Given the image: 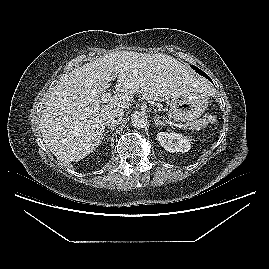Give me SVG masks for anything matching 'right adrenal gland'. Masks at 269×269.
<instances>
[{
  "instance_id": "obj_1",
  "label": "right adrenal gland",
  "mask_w": 269,
  "mask_h": 269,
  "mask_svg": "<svg viewBox=\"0 0 269 269\" xmlns=\"http://www.w3.org/2000/svg\"><path fill=\"white\" fill-rule=\"evenodd\" d=\"M113 130H114V127H111V128L104 130L103 138L106 136L107 133L113 132Z\"/></svg>"
}]
</instances>
